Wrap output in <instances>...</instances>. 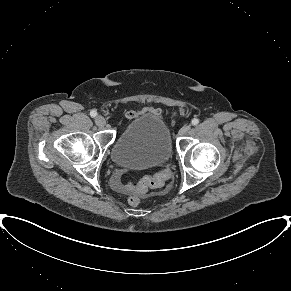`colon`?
<instances>
[{"label": "colon", "instance_id": "5ec220e1", "mask_svg": "<svg viewBox=\"0 0 291 291\" xmlns=\"http://www.w3.org/2000/svg\"><path fill=\"white\" fill-rule=\"evenodd\" d=\"M170 176V171L165 169L153 176L144 177L137 185L128 184L127 188L136 192H145L150 188H158L165 184ZM130 205L137 207L141 204V199L138 196H132L129 199Z\"/></svg>", "mask_w": 291, "mask_h": 291}]
</instances>
